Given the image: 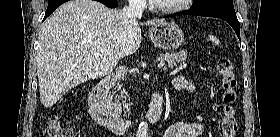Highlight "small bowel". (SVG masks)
<instances>
[{
	"label": "small bowel",
	"instance_id": "obj_1",
	"mask_svg": "<svg viewBox=\"0 0 280 137\" xmlns=\"http://www.w3.org/2000/svg\"><path fill=\"white\" fill-rule=\"evenodd\" d=\"M173 84L177 89L194 93L193 85L183 76L175 78ZM201 131L200 125L179 121L167 127L163 137H197Z\"/></svg>",
	"mask_w": 280,
	"mask_h": 137
}]
</instances>
